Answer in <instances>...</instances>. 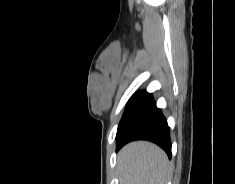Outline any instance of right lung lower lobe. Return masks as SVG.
I'll list each match as a JSON object with an SVG mask.
<instances>
[{"label":"right lung lower lobe","mask_w":235,"mask_h":184,"mask_svg":"<svg viewBox=\"0 0 235 184\" xmlns=\"http://www.w3.org/2000/svg\"><path fill=\"white\" fill-rule=\"evenodd\" d=\"M148 140L171 158L170 129L166 118L146 91L135 94L127 104L116 135V151L128 142Z\"/></svg>","instance_id":"1"}]
</instances>
